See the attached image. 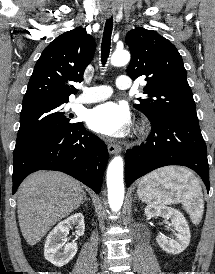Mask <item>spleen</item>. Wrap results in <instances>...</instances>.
Listing matches in <instances>:
<instances>
[{"instance_id": "spleen-1", "label": "spleen", "mask_w": 215, "mask_h": 274, "mask_svg": "<svg viewBox=\"0 0 215 274\" xmlns=\"http://www.w3.org/2000/svg\"><path fill=\"white\" fill-rule=\"evenodd\" d=\"M147 203L167 205L182 203L192 217L203 213L204 201L199 180L185 168L165 167L143 177L138 189Z\"/></svg>"}]
</instances>
